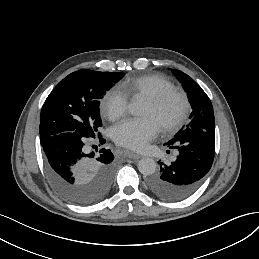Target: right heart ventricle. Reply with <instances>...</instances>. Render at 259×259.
I'll return each mask as SVG.
<instances>
[{"mask_svg":"<svg viewBox=\"0 0 259 259\" xmlns=\"http://www.w3.org/2000/svg\"><path fill=\"white\" fill-rule=\"evenodd\" d=\"M173 88L174 84L160 75H132L121 80L115 91L128 100L136 95L157 96Z\"/></svg>","mask_w":259,"mask_h":259,"instance_id":"obj_1","label":"right heart ventricle"}]
</instances>
